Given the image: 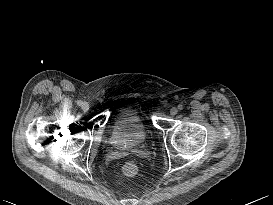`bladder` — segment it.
<instances>
[{"instance_id": "bladder-1", "label": "bladder", "mask_w": 273, "mask_h": 205, "mask_svg": "<svg viewBox=\"0 0 273 205\" xmlns=\"http://www.w3.org/2000/svg\"><path fill=\"white\" fill-rule=\"evenodd\" d=\"M147 138L146 121L136 108H124L113 116L108 141L115 149L127 150L139 147Z\"/></svg>"}]
</instances>
